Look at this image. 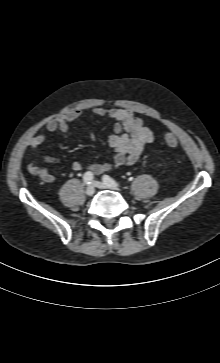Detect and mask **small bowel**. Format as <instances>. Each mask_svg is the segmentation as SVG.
Wrapping results in <instances>:
<instances>
[{"label":"small bowel","mask_w":220,"mask_h":363,"mask_svg":"<svg viewBox=\"0 0 220 363\" xmlns=\"http://www.w3.org/2000/svg\"><path fill=\"white\" fill-rule=\"evenodd\" d=\"M91 112L98 117L107 116L114 122V133L109 137L108 143L115 153L111 162L87 166V169L92 173L99 174L136 163L145 146L154 141L153 131L145 126L143 119L135 116L130 110L95 108ZM82 113L81 110L77 109L59 120L48 121L44 129L29 140V147L35 153H39L41 145L47 139V133L59 131L63 134H69L68 124L78 119ZM56 159L55 155H43V160L46 163H53ZM27 168L30 173L40 177L46 183H53L55 180L53 174L46 167L30 163ZM83 168V164L78 161L72 164L74 171H81Z\"/></svg>","instance_id":"obj_1"}]
</instances>
